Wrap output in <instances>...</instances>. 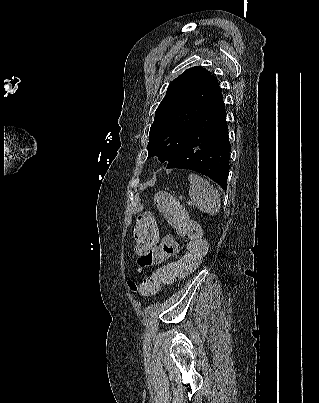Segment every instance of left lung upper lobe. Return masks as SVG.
Returning <instances> with one entry per match:
<instances>
[{"mask_svg":"<svg viewBox=\"0 0 319 403\" xmlns=\"http://www.w3.org/2000/svg\"><path fill=\"white\" fill-rule=\"evenodd\" d=\"M220 93L218 80L203 67L189 68L174 79L155 112L148 158L157 156L161 162H169Z\"/></svg>","mask_w":319,"mask_h":403,"instance_id":"left-lung-upper-lobe-1","label":"left lung upper lobe"}]
</instances>
